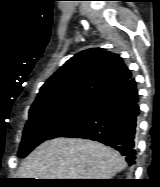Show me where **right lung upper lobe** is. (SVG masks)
<instances>
[{
	"label": "right lung upper lobe",
	"instance_id": "obj_1",
	"mask_svg": "<svg viewBox=\"0 0 160 187\" xmlns=\"http://www.w3.org/2000/svg\"><path fill=\"white\" fill-rule=\"evenodd\" d=\"M119 55L101 48L81 51L70 58L40 88L31 108L72 100H99L131 78Z\"/></svg>",
	"mask_w": 160,
	"mask_h": 187
}]
</instances>
